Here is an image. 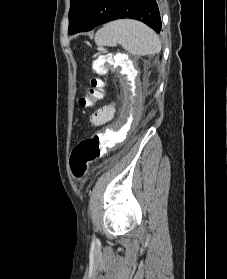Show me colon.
<instances>
[{"mask_svg": "<svg viewBox=\"0 0 227 279\" xmlns=\"http://www.w3.org/2000/svg\"><path fill=\"white\" fill-rule=\"evenodd\" d=\"M105 62L104 57H98L92 61L91 70L94 76L90 79L86 93L79 99L81 107L92 106L95 100L104 97L105 82L102 76L106 72ZM115 134L116 132L111 129H102L74 146L70 157V169L76 179H82L87 173L89 164L107 153L115 141Z\"/></svg>", "mask_w": 227, "mask_h": 279, "instance_id": "1", "label": "colon"}]
</instances>
